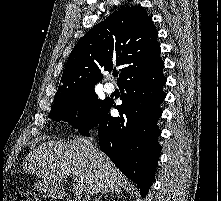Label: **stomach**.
<instances>
[{
	"mask_svg": "<svg viewBox=\"0 0 221 201\" xmlns=\"http://www.w3.org/2000/svg\"><path fill=\"white\" fill-rule=\"evenodd\" d=\"M35 189L49 196H57L58 190L51 186L47 181L40 180L34 185Z\"/></svg>",
	"mask_w": 221,
	"mask_h": 201,
	"instance_id": "stomach-1",
	"label": "stomach"
}]
</instances>
